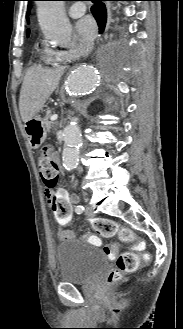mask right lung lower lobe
<instances>
[{
    "mask_svg": "<svg viewBox=\"0 0 183 329\" xmlns=\"http://www.w3.org/2000/svg\"><path fill=\"white\" fill-rule=\"evenodd\" d=\"M103 1L105 0H92L94 5L91 7V12L98 23L100 32H103L107 19L106 7Z\"/></svg>",
    "mask_w": 183,
    "mask_h": 329,
    "instance_id": "obj_1",
    "label": "right lung lower lobe"
}]
</instances>
